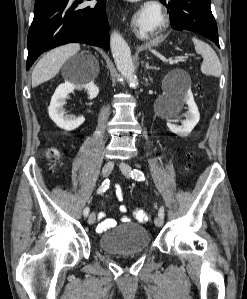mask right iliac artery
<instances>
[{
  "instance_id": "right-iliac-artery-1",
  "label": "right iliac artery",
  "mask_w": 247,
  "mask_h": 299,
  "mask_svg": "<svg viewBox=\"0 0 247 299\" xmlns=\"http://www.w3.org/2000/svg\"><path fill=\"white\" fill-rule=\"evenodd\" d=\"M109 187V180H104L103 183L101 184V186L98 188L97 193L101 194L103 192H105L107 190V188ZM89 208L86 207L83 211V214L85 216H87L89 214Z\"/></svg>"
}]
</instances>
